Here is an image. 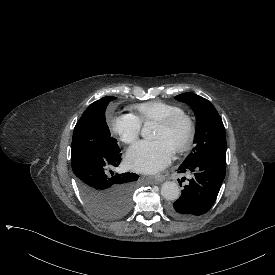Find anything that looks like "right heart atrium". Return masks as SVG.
Here are the masks:
<instances>
[{"label":"right heart atrium","instance_id":"d8ad5b80","mask_svg":"<svg viewBox=\"0 0 275 275\" xmlns=\"http://www.w3.org/2000/svg\"><path fill=\"white\" fill-rule=\"evenodd\" d=\"M110 130L123 144L132 147L139 140L141 123L133 115H119L111 120Z\"/></svg>","mask_w":275,"mask_h":275}]
</instances>
